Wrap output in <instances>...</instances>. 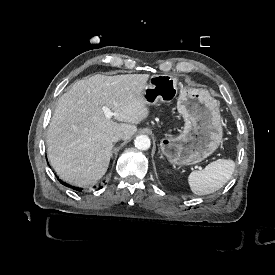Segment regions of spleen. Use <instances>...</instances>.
Wrapping results in <instances>:
<instances>
[{
  "mask_svg": "<svg viewBox=\"0 0 275 275\" xmlns=\"http://www.w3.org/2000/svg\"><path fill=\"white\" fill-rule=\"evenodd\" d=\"M235 163L230 159H218L205 167V172H191L188 182L196 195L211 194L222 188L232 177Z\"/></svg>",
  "mask_w": 275,
  "mask_h": 275,
  "instance_id": "spleen-1",
  "label": "spleen"
}]
</instances>
